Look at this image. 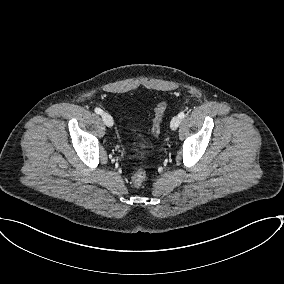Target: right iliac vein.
<instances>
[{
	"mask_svg": "<svg viewBox=\"0 0 284 284\" xmlns=\"http://www.w3.org/2000/svg\"><path fill=\"white\" fill-rule=\"evenodd\" d=\"M102 120L106 126L108 127L113 126V118L108 113H102Z\"/></svg>",
	"mask_w": 284,
	"mask_h": 284,
	"instance_id": "right-iliac-vein-1",
	"label": "right iliac vein"
}]
</instances>
